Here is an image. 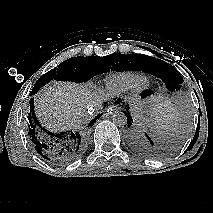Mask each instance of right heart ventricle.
I'll return each instance as SVG.
<instances>
[{"label": "right heart ventricle", "instance_id": "e07e8e85", "mask_svg": "<svg viewBox=\"0 0 213 213\" xmlns=\"http://www.w3.org/2000/svg\"><path fill=\"white\" fill-rule=\"evenodd\" d=\"M148 83V78L141 73H117L107 79V85L116 93L137 90Z\"/></svg>", "mask_w": 213, "mask_h": 213}]
</instances>
